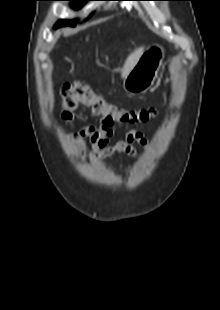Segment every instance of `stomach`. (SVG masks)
Returning a JSON list of instances; mask_svg holds the SVG:
<instances>
[{"label": "stomach", "mask_w": 220, "mask_h": 310, "mask_svg": "<svg viewBox=\"0 0 220 310\" xmlns=\"http://www.w3.org/2000/svg\"><path fill=\"white\" fill-rule=\"evenodd\" d=\"M165 57L164 48L159 44L149 46L123 81V88L130 94L145 93L158 77Z\"/></svg>", "instance_id": "stomach-1"}]
</instances>
